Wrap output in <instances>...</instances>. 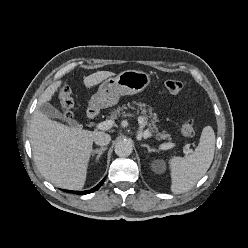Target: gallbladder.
Returning a JSON list of instances; mask_svg holds the SVG:
<instances>
[{
	"label": "gallbladder",
	"instance_id": "bac80fb5",
	"mask_svg": "<svg viewBox=\"0 0 248 248\" xmlns=\"http://www.w3.org/2000/svg\"><path fill=\"white\" fill-rule=\"evenodd\" d=\"M39 110L50 118L64 119L62 113L49 103L42 104ZM69 123L72 126H77L75 121H69Z\"/></svg>",
	"mask_w": 248,
	"mask_h": 248
}]
</instances>
